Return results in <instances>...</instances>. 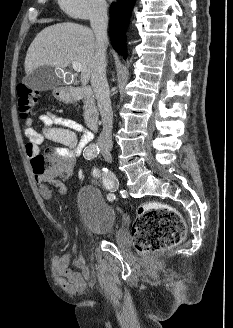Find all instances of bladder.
Segmentation results:
<instances>
[{
	"label": "bladder",
	"mask_w": 233,
	"mask_h": 328,
	"mask_svg": "<svg viewBox=\"0 0 233 328\" xmlns=\"http://www.w3.org/2000/svg\"><path fill=\"white\" fill-rule=\"evenodd\" d=\"M76 205L86 230L97 236L115 232L117 212L94 186L85 185L76 195Z\"/></svg>",
	"instance_id": "obj_1"
}]
</instances>
